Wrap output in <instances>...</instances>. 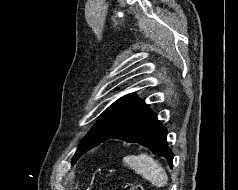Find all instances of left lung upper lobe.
Returning a JSON list of instances; mask_svg holds the SVG:
<instances>
[{"instance_id": "obj_1", "label": "left lung upper lobe", "mask_w": 238, "mask_h": 190, "mask_svg": "<svg viewBox=\"0 0 238 190\" xmlns=\"http://www.w3.org/2000/svg\"><path fill=\"white\" fill-rule=\"evenodd\" d=\"M139 100L135 93L127 94L112 105H110L101 115L100 120L91 128L86 135L83 143L78 147L71 163L74 164L78 158L88 149L95 147L102 143L103 138L113 128L116 121L124 111L130 108Z\"/></svg>"}]
</instances>
